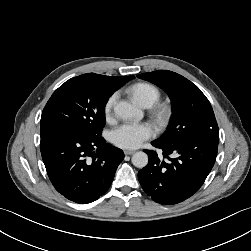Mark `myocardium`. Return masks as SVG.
<instances>
[{
    "mask_svg": "<svg viewBox=\"0 0 251 251\" xmlns=\"http://www.w3.org/2000/svg\"><path fill=\"white\" fill-rule=\"evenodd\" d=\"M154 115L159 123L163 124L167 121L170 115V110L165 105H159L154 110Z\"/></svg>",
    "mask_w": 251,
    "mask_h": 251,
    "instance_id": "f54148a6",
    "label": "myocardium"
}]
</instances>
